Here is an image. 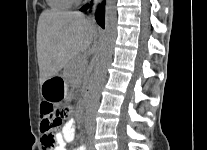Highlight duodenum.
Listing matches in <instances>:
<instances>
[{"instance_id":"1","label":"duodenum","mask_w":207,"mask_h":150,"mask_svg":"<svg viewBox=\"0 0 207 150\" xmlns=\"http://www.w3.org/2000/svg\"><path fill=\"white\" fill-rule=\"evenodd\" d=\"M92 92H93V87H92V85L90 84V85L86 88V90H85V92H84V100H85L86 103H89V102H90L91 97H92Z\"/></svg>"}]
</instances>
